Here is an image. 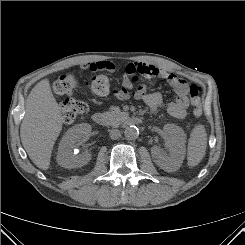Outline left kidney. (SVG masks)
Returning a JSON list of instances; mask_svg holds the SVG:
<instances>
[{
  "instance_id": "left-kidney-1",
  "label": "left kidney",
  "mask_w": 245,
  "mask_h": 245,
  "mask_svg": "<svg viewBox=\"0 0 245 245\" xmlns=\"http://www.w3.org/2000/svg\"><path fill=\"white\" fill-rule=\"evenodd\" d=\"M170 139L169 154L157 147L151 148L154 162L165 171H173L180 167L185 157L186 135L182 128L174 124H167L163 128Z\"/></svg>"
}]
</instances>
